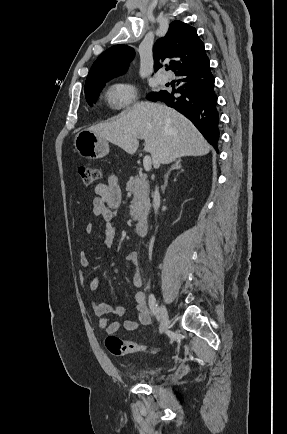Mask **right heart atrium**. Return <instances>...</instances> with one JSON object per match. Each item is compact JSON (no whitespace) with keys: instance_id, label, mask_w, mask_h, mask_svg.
<instances>
[{"instance_id":"d8ad5b80","label":"right heart atrium","mask_w":287,"mask_h":434,"mask_svg":"<svg viewBox=\"0 0 287 434\" xmlns=\"http://www.w3.org/2000/svg\"><path fill=\"white\" fill-rule=\"evenodd\" d=\"M138 90L135 84L130 82H117L107 91V99L114 109H124L137 98Z\"/></svg>"}]
</instances>
